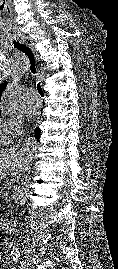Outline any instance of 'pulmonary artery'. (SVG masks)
<instances>
[{"instance_id": "e3ab8cb5", "label": "pulmonary artery", "mask_w": 118, "mask_h": 269, "mask_svg": "<svg viewBox=\"0 0 118 269\" xmlns=\"http://www.w3.org/2000/svg\"><path fill=\"white\" fill-rule=\"evenodd\" d=\"M27 103L30 105H36L39 103V99L37 97H28Z\"/></svg>"}]
</instances>
